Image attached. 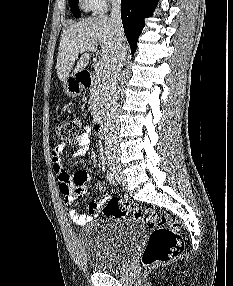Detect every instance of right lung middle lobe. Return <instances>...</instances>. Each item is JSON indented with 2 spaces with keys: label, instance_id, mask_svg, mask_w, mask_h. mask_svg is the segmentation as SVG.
Wrapping results in <instances>:
<instances>
[{
  "label": "right lung middle lobe",
  "instance_id": "obj_1",
  "mask_svg": "<svg viewBox=\"0 0 233 286\" xmlns=\"http://www.w3.org/2000/svg\"><path fill=\"white\" fill-rule=\"evenodd\" d=\"M69 2H70L71 11H72L73 15L75 17H80L81 12H80L77 0H69Z\"/></svg>",
  "mask_w": 233,
  "mask_h": 286
}]
</instances>
